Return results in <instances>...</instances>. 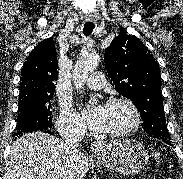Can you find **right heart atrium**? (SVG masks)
Masks as SVG:
<instances>
[{
    "instance_id": "d8ad5b80",
    "label": "right heart atrium",
    "mask_w": 183,
    "mask_h": 179,
    "mask_svg": "<svg viewBox=\"0 0 183 179\" xmlns=\"http://www.w3.org/2000/svg\"><path fill=\"white\" fill-rule=\"evenodd\" d=\"M57 126L62 134H80L84 131L83 121L68 104L61 106Z\"/></svg>"
}]
</instances>
